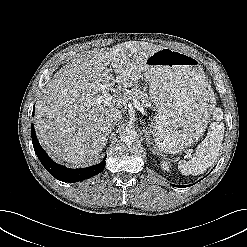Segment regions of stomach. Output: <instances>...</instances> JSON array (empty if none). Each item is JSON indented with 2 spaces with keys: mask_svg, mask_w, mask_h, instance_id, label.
<instances>
[{
  "mask_svg": "<svg viewBox=\"0 0 247 247\" xmlns=\"http://www.w3.org/2000/svg\"><path fill=\"white\" fill-rule=\"evenodd\" d=\"M143 67L157 112V149L180 153L201 137L214 94L199 61L189 54L163 47L150 55Z\"/></svg>",
  "mask_w": 247,
  "mask_h": 247,
  "instance_id": "1",
  "label": "stomach"
}]
</instances>
